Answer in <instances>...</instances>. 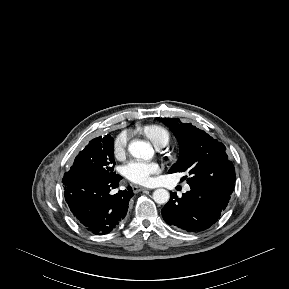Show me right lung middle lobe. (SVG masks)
Returning <instances> with one entry per match:
<instances>
[{"instance_id": "right-lung-middle-lobe-1", "label": "right lung middle lobe", "mask_w": 289, "mask_h": 289, "mask_svg": "<svg viewBox=\"0 0 289 289\" xmlns=\"http://www.w3.org/2000/svg\"><path fill=\"white\" fill-rule=\"evenodd\" d=\"M113 143L114 139L109 134L92 139L76 156L70 170L94 178L113 174Z\"/></svg>"}]
</instances>
